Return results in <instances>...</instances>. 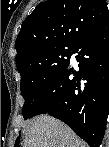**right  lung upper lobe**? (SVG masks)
<instances>
[{"mask_svg": "<svg viewBox=\"0 0 109 147\" xmlns=\"http://www.w3.org/2000/svg\"><path fill=\"white\" fill-rule=\"evenodd\" d=\"M109 20L105 0H47L23 21L17 36V69L40 52L74 46L101 23Z\"/></svg>", "mask_w": 109, "mask_h": 147, "instance_id": "right-lung-upper-lobe-1", "label": "right lung upper lobe"}]
</instances>
